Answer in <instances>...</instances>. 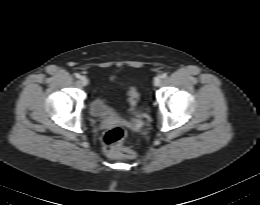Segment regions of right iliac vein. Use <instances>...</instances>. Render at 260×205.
Instances as JSON below:
<instances>
[{
	"mask_svg": "<svg viewBox=\"0 0 260 205\" xmlns=\"http://www.w3.org/2000/svg\"><path fill=\"white\" fill-rule=\"evenodd\" d=\"M88 79H87V77H85V76H82L81 78H80V83L83 85V86H87L88 85Z\"/></svg>",
	"mask_w": 260,
	"mask_h": 205,
	"instance_id": "1",
	"label": "right iliac vein"
}]
</instances>
